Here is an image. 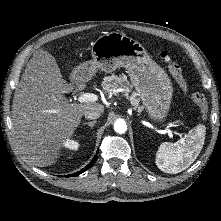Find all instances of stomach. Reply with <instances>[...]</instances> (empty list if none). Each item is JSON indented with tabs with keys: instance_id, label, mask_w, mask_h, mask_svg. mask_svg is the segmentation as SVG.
<instances>
[{
	"instance_id": "stomach-1",
	"label": "stomach",
	"mask_w": 221,
	"mask_h": 221,
	"mask_svg": "<svg viewBox=\"0 0 221 221\" xmlns=\"http://www.w3.org/2000/svg\"><path fill=\"white\" fill-rule=\"evenodd\" d=\"M91 54L92 60L75 68L77 79H91L98 69L111 73L124 67L149 117L159 122L167 117L173 96L172 82L138 41L123 33H107L92 44Z\"/></svg>"
}]
</instances>
